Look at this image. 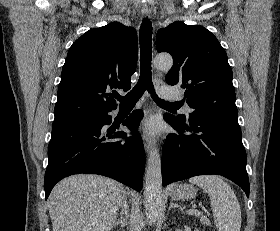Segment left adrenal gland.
Masks as SVG:
<instances>
[{
    "label": "left adrenal gland",
    "mask_w": 280,
    "mask_h": 231,
    "mask_svg": "<svg viewBox=\"0 0 280 231\" xmlns=\"http://www.w3.org/2000/svg\"><path fill=\"white\" fill-rule=\"evenodd\" d=\"M170 207H177V209H180V211H184V207H181V205H178V203H174V201H170L169 209Z\"/></svg>",
    "instance_id": "obj_1"
}]
</instances>
